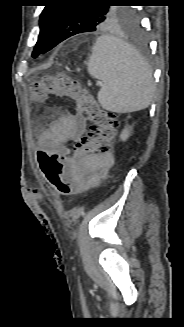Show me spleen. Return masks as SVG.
I'll return each instance as SVG.
<instances>
[{
  "label": "spleen",
  "instance_id": "1",
  "mask_svg": "<svg viewBox=\"0 0 184 327\" xmlns=\"http://www.w3.org/2000/svg\"><path fill=\"white\" fill-rule=\"evenodd\" d=\"M87 69L103 82L98 101L104 109L127 113L149 106L154 93L152 72L128 43L110 35L98 37Z\"/></svg>",
  "mask_w": 184,
  "mask_h": 327
}]
</instances>
